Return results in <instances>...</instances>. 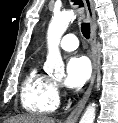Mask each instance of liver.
Returning <instances> with one entry per match:
<instances>
[{"label": "liver", "mask_w": 118, "mask_h": 123, "mask_svg": "<svg viewBox=\"0 0 118 123\" xmlns=\"http://www.w3.org/2000/svg\"><path fill=\"white\" fill-rule=\"evenodd\" d=\"M5 123H55V120L44 116L22 115L10 118Z\"/></svg>", "instance_id": "liver-1"}]
</instances>
